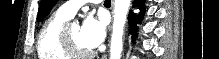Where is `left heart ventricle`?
Returning a JSON list of instances; mask_svg holds the SVG:
<instances>
[{
	"label": "left heart ventricle",
	"mask_w": 219,
	"mask_h": 59,
	"mask_svg": "<svg viewBox=\"0 0 219 59\" xmlns=\"http://www.w3.org/2000/svg\"><path fill=\"white\" fill-rule=\"evenodd\" d=\"M68 33L74 45L80 50H90L87 48L80 39V27L78 25L68 26Z\"/></svg>",
	"instance_id": "left-heart-ventricle-1"
}]
</instances>
